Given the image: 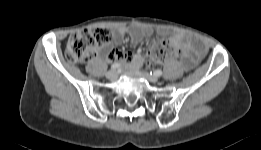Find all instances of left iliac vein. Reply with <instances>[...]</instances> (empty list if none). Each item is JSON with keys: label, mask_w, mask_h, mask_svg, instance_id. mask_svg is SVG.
Here are the masks:
<instances>
[{"label": "left iliac vein", "mask_w": 261, "mask_h": 150, "mask_svg": "<svg viewBox=\"0 0 261 150\" xmlns=\"http://www.w3.org/2000/svg\"><path fill=\"white\" fill-rule=\"evenodd\" d=\"M145 76L152 83H157L158 82V77L156 75H151L149 73H145Z\"/></svg>", "instance_id": "1"}]
</instances>
